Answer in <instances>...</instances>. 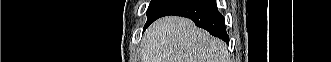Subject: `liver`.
<instances>
[{
  "label": "liver",
  "instance_id": "liver-1",
  "mask_svg": "<svg viewBox=\"0 0 331 62\" xmlns=\"http://www.w3.org/2000/svg\"><path fill=\"white\" fill-rule=\"evenodd\" d=\"M145 62H225L226 44L187 18L155 21L142 40Z\"/></svg>",
  "mask_w": 331,
  "mask_h": 62
}]
</instances>
